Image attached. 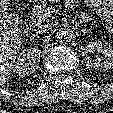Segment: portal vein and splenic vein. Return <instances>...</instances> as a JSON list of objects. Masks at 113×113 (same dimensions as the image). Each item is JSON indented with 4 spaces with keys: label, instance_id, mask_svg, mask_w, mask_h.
Returning <instances> with one entry per match:
<instances>
[{
    "label": "portal vein and splenic vein",
    "instance_id": "obj_1",
    "mask_svg": "<svg viewBox=\"0 0 113 113\" xmlns=\"http://www.w3.org/2000/svg\"><path fill=\"white\" fill-rule=\"evenodd\" d=\"M53 10H54V9H51V8H50V9L47 10V13H48V14H51ZM34 22H35V23H41L39 20H34Z\"/></svg>",
    "mask_w": 113,
    "mask_h": 113
}]
</instances>
